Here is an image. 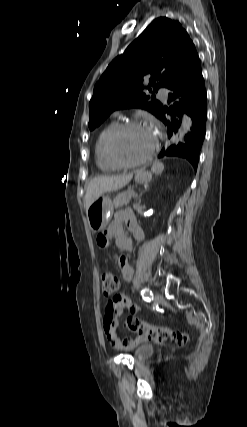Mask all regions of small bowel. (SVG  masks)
I'll return each mask as SVG.
<instances>
[{"label": "small bowel", "mask_w": 247, "mask_h": 427, "mask_svg": "<svg viewBox=\"0 0 247 427\" xmlns=\"http://www.w3.org/2000/svg\"><path fill=\"white\" fill-rule=\"evenodd\" d=\"M124 224L137 240L142 241L144 239L143 231L138 226L133 213L129 210H121L116 213L108 228L97 237L98 246L102 249H107L110 247V242L114 240L120 249L131 251L133 249V242L130 237L123 233ZM118 266L123 279L127 282L131 281L134 271L126 256L120 255L118 257ZM139 310L140 307L124 295L114 296L108 302L103 317V331L112 348L117 350H129L145 341V339L141 337L135 340L128 336L120 338L116 333L120 316L125 311L135 314L139 312Z\"/></svg>", "instance_id": "c3829d8e"}]
</instances>
